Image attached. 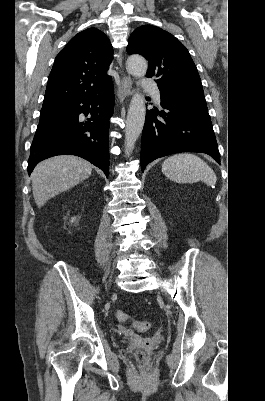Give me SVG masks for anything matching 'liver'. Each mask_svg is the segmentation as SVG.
<instances>
[{
  "label": "liver",
  "instance_id": "liver-1",
  "mask_svg": "<svg viewBox=\"0 0 265 401\" xmlns=\"http://www.w3.org/2000/svg\"><path fill=\"white\" fill-rule=\"evenodd\" d=\"M92 168V164L84 158L68 154L52 156L39 162L31 174L33 196L38 209L52 196L89 178Z\"/></svg>",
  "mask_w": 265,
  "mask_h": 401
}]
</instances>
